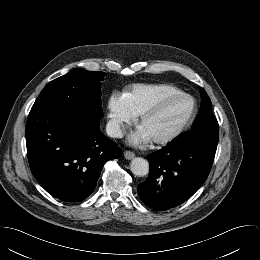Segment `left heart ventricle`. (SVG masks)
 Wrapping results in <instances>:
<instances>
[{"instance_id":"1","label":"left heart ventricle","mask_w":260,"mask_h":260,"mask_svg":"<svg viewBox=\"0 0 260 260\" xmlns=\"http://www.w3.org/2000/svg\"><path fill=\"white\" fill-rule=\"evenodd\" d=\"M191 103L186 98H175L165 104L156 114L149 117L142 128L150 137L161 136L175 129L186 117Z\"/></svg>"}]
</instances>
